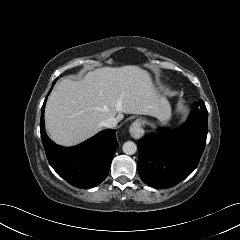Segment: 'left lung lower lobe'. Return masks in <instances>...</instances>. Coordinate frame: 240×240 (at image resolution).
Masks as SVG:
<instances>
[{
    "label": "left lung lower lobe",
    "instance_id": "0a47b994",
    "mask_svg": "<svg viewBox=\"0 0 240 240\" xmlns=\"http://www.w3.org/2000/svg\"><path fill=\"white\" fill-rule=\"evenodd\" d=\"M208 112L199 100L187 122L178 129L159 128L137 141L138 172L152 187H172L197 167L206 144Z\"/></svg>",
    "mask_w": 240,
    "mask_h": 240
}]
</instances>
